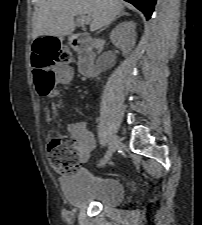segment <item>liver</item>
<instances>
[{"label":"liver","instance_id":"6515ba94","mask_svg":"<svg viewBox=\"0 0 202 225\" xmlns=\"http://www.w3.org/2000/svg\"><path fill=\"white\" fill-rule=\"evenodd\" d=\"M123 10L119 0H46L33 20L32 37L69 35L76 28L74 17L82 15L91 17L93 32L110 24Z\"/></svg>","mask_w":202,"mask_h":225}]
</instances>
